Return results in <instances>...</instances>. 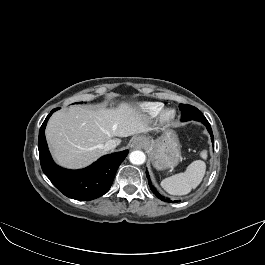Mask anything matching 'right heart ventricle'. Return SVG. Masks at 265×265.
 Returning <instances> with one entry per match:
<instances>
[{"mask_svg": "<svg viewBox=\"0 0 265 265\" xmlns=\"http://www.w3.org/2000/svg\"><path fill=\"white\" fill-rule=\"evenodd\" d=\"M162 108L163 103L160 102H145L138 106L139 111L147 120L154 119L159 114Z\"/></svg>", "mask_w": 265, "mask_h": 265, "instance_id": "obj_1", "label": "right heart ventricle"}]
</instances>
